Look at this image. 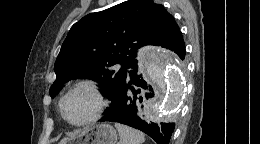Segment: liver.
<instances>
[{
  "instance_id": "liver-1",
  "label": "liver",
  "mask_w": 260,
  "mask_h": 144,
  "mask_svg": "<svg viewBox=\"0 0 260 144\" xmlns=\"http://www.w3.org/2000/svg\"><path fill=\"white\" fill-rule=\"evenodd\" d=\"M67 140H68V138H67V137H66V138H63V139L60 141V143H59V144H66Z\"/></svg>"
}]
</instances>
